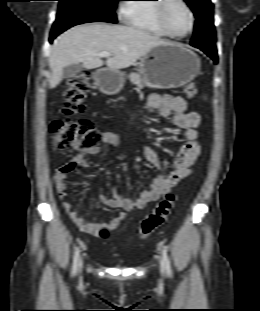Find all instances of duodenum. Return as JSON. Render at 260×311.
Segmentation results:
<instances>
[{
	"label": "duodenum",
	"instance_id": "duodenum-1",
	"mask_svg": "<svg viewBox=\"0 0 260 311\" xmlns=\"http://www.w3.org/2000/svg\"><path fill=\"white\" fill-rule=\"evenodd\" d=\"M101 73L97 74V80H99Z\"/></svg>",
	"mask_w": 260,
	"mask_h": 311
}]
</instances>
